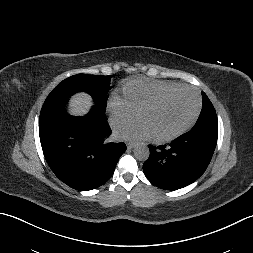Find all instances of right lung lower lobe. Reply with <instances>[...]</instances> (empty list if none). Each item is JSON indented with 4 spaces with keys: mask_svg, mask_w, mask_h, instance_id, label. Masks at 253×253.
I'll return each instance as SVG.
<instances>
[{
    "mask_svg": "<svg viewBox=\"0 0 253 253\" xmlns=\"http://www.w3.org/2000/svg\"><path fill=\"white\" fill-rule=\"evenodd\" d=\"M65 102L43 104L39 118L42 150L62 182L79 191L92 190L109 180L126 145L107 141L112 131L105 111L94 106L86 116H70Z\"/></svg>",
    "mask_w": 253,
    "mask_h": 253,
    "instance_id": "98d812e1",
    "label": "right lung lower lobe"
}]
</instances>
